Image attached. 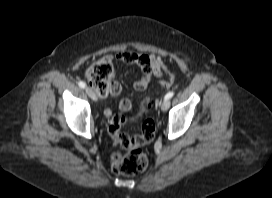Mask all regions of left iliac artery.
Listing matches in <instances>:
<instances>
[{
    "mask_svg": "<svg viewBox=\"0 0 272 198\" xmlns=\"http://www.w3.org/2000/svg\"><path fill=\"white\" fill-rule=\"evenodd\" d=\"M173 95H174V92L170 91L165 95L164 99H170L171 97H173Z\"/></svg>",
    "mask_w": 272,
    "mask_h": 198,
    "instance_id": "44dca946",
    "label": "left iliac artery"
}]
</instances>
